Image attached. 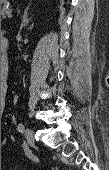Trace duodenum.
<instances>
[{
    "instance_id": "duodenum-1",
    "label": "duodenum",
    "mask_w": 109,
    "mask_h": 170,
    "mask_svg": "<svg viewBox=\"0 0 109 170\" xmlns=\"http://www.w3.org/2000/svg\"><path fill=\"white\" fill-rule=\"evenodd\" d=\"M7 46H8V40L6 38H3L1 40V51L4 54L3 55V62L7 61V55H6Z\"/></svg>"
}]
</instances>
